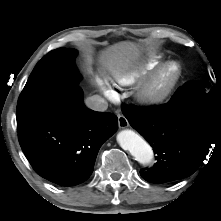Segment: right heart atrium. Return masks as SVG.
I'll return each instance as SVG.
<instances>
[{"instance_id":"right-heart-atrium-1","label":"right heart atrium","mask_w":221,"mask_h":221,"mask_svg":"<svg viewBox=\"0 0 221 221\" xmlns=\"http://www.w3.org/2000/svg\"><path fill=\"white\" fill-rule=\"evenodd\" d=\"M100 87L106 97L111 99L116 95L115 91L111 88L110 84L106 80L100 81Z\"/></svg>"}]
</instances>
